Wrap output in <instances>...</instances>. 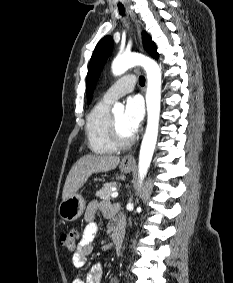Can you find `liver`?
Here are the masks:
<instances>
[{
	"instance_id": "obj_1",
	"label": "liver",
	"mask_w": 233,
	"mask_h": 283,
	"mask_svg": "<svg viewBox=\"0 0 233 283\" xmlns=\"http://www.w3.org/2000/svg\"><path fill=\"white\" fill-rule=\"evenodd\" d=\"M120 157L111 155L87 154L82 156L70 169L62 193V199L73 196L93 173L115 169Z\"/></svg>"
}]
</instances>
